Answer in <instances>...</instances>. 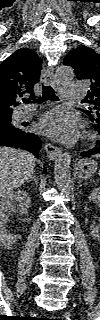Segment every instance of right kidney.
<instances>
[{"label": "right kidney", "mask_w": 100, "mask_h": 320, "mask_svg": "<svg viewBox=\"0 0 100 320\" xmlns=\"http://www.w3.org/2000/svg\"><path fill=\"white\" fill-rule=\"evenodd\" d=\"M30 205V197L26 191L18 190L8 193L0 199V243L9 248L17 240L20 235L10 234L7 232L8 217L11 212H19L21 215L28 213Z\"/></svg>", "instance_id": "right-kidney-1"}]
</instances>
